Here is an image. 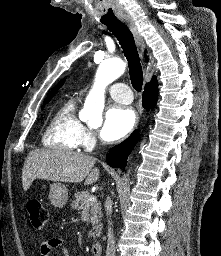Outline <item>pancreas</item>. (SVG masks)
<instances>
[{
    "mask_svg": "<svg viewBox=\"0 0 221 256\" xmlns=\"http://www.w3.org/2000/svg\"><path fill=\"white\" fill-rule=\"evenodd\" d=\"M90 195L88 191H83L81 193L75 194V200L73 201L72 208L81 211L84 208L89 209L90 211V219L93 225V228L88 233V238L95 239L96 236L100 234L102 229L101 218V205L96 202H88Z\"/></svg>",
    "mask_w": 221,
    "mask_h": 256,
    "instance_id": "obj_1",
    "label": "pancreas"
}]
</instances>
